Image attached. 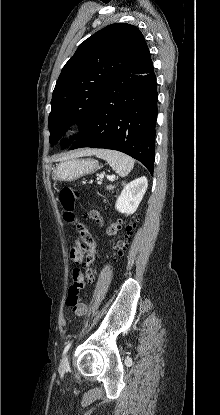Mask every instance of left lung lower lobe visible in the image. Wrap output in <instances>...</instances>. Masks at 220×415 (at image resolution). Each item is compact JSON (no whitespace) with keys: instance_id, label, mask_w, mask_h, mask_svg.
I'll list each match as a JSON object with an SVG mask.
<instances>
[{"instance_id":"obj_1","label":"left lung lower lobe","mask_w":220,"mask_h":415,"mask_svg":"<svg viewBox=\"0 0 220 415\" xmlns=\"http://www.w3.org/2000/svg\"><path fill=\"white\" fill-rule=\"evenodd\" d=\"M157 97L150 60L140 71L113 82L70 150L92 147L121 151L142 162L153 175Z\"/></svg>"}]
</instances>
